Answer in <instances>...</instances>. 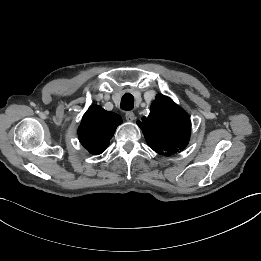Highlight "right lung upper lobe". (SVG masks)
<instances>
[{
  "mask_svg": "<svg viewBox=\"0 0 261 261\" xmlns=\"http://www.w3.org/2000/svg\"><path fill=\"white\" fill-rule=\"evenodd\" d=\"M121 122L119 115L94 105L83 116L78 128L79 140L90 153L98 155L106 149Z\"/></svg>",
  "mask_w": 261,
  "mask_h": 261,
  "instance_id": "right-lung-upper-lobe-1",
  "label": "right lung upper lobe"
}]
</instances>
